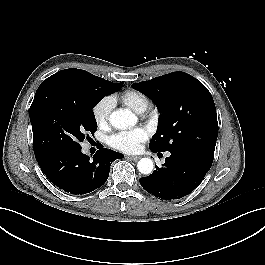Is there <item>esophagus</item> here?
<instances>
[{
	"label": "esophagus",
	"instance_id": "1",
	"mask_svg": "<svg viewBox=\"0 0 265 265\" xmlns=\"http://www.w3.org/2000/svg\"><path fill=\"white\" fill-rule=\"evenodd\" d=\"M127 158L132 160V161H137L140 159V156H128Z\"/></svg>",
	"mask_w": 265,
	"mask_h": 265
}]
</instances>
